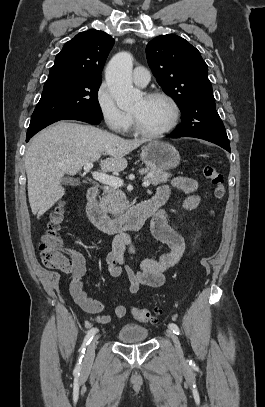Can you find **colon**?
<instances>
[{
  "instance_id": "5ec220e1",
  "label": "colon",
  "mask_w": 265,
  "mask_h": 407,
  "mask_svg": "<svg viewBox=\"0 0 265 407\" xmlns=\"http://www.w3.org/2000/svg\"><path fill=\"white\" fill-rule=\"evenodd\" d=\"M204 177L213 187V198L220 202L225 198L226 187L223 174L213 164L202 168ZM65 219L64 204H59L50 214L46 233L42 236L39 252L43 264L50 269L71 271L74 267V254L64 246L60 229ZM133 317L143 323H154L158 319L157 310H132Z\"/></svg>"
}]
</instances>
